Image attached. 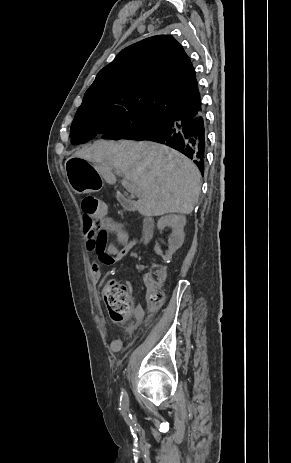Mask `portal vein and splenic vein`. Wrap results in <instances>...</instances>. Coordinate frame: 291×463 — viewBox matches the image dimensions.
<instances>
[{"mask_svg":"<svg viewBox=\"0 0 291 463\" xmlns=\"http://www.w3.org/2000/svg\"><path fill=\"white\" fill-rule=\"evenodd\" d=\"M122 184L126 188V190L130 192L131 194H135L138 196L140 195V190L137 188V185L134 182L129 181L128 179H124L122 181Z\"/></svg>","mask_w":291,"mask_h":463,"instance_id":"portal-vein-and-splenic-vein-1","label":"portal vein and splenic vein"}]
</instances>
